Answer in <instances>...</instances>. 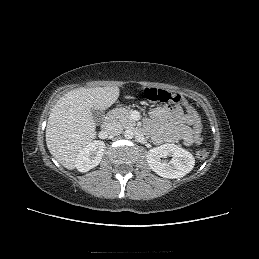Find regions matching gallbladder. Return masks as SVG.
Instances as JSON below:
<instances>
[{"mask_svg": "<svg viewBox=\"0 0 259 259\" xmlns=\"http://www.w3.org/2000/svg\"><path fill=\"white\" fill-rule=\"evenodd\" d=\"M91 113L96 124H101L103 122L105 114L102 110L91 109Z\"/></svg>", "mask_w": 259, "mask_h": 259, "instance_id": "bac80fb5", "label": "gallbladder"}]
</instances>
